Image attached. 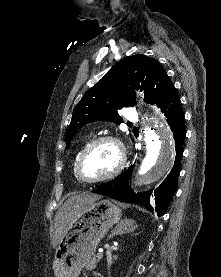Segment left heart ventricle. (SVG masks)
<instances>
[{
    "instance_id": "1",
    "label": "left heart ventricle",
    "mask_w": 221,
    "mask_h": 277,
    "mask_svg": "<svg viewBox=\"0 0 221 277\" xmlns=\"http://www.w3.org/2000/svg\"><path fill=\"white\" fill-rule=\"evenodd\" d=\"M118 163V151L112 143H101L93 148L83 159L81 173L93 179L112 171Z\"/></svg>"
}]
</instances>
